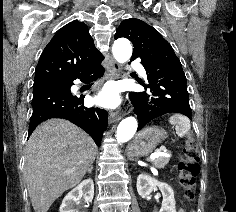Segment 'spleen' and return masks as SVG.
<instances>
[{"label": "spleen", "mask_w": 236, "mask_h": 212, "mask_svg": "<svg viewBox=\"0 0 236 212\" xmlns=\"http://www.w3.org/2000/svg\"><path fill=\"white\" fill-rule=\"evenodd\" d=\"M169 122L171 125H175L176 134L179 137H184L190 131V120L185 115L174 114L169 118Z\"/></svg>", "instance_id": "obj_1"}]
</instances>
